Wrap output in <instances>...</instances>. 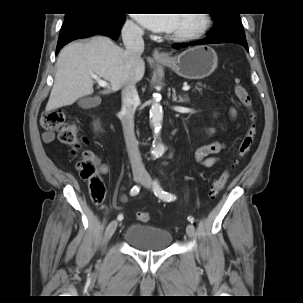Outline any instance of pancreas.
<instances>
[{
	"label": "pancreas",
	"instance_id": "1",
	"mask_svg": "<svg viewBox=\"0 0 303 303\" xmlns=\"http://www.w3.org/2000/svg\"><path fill=\"white\" fill-rule=\"evenodd\" d=\"M200 86H204V87H205V85L198 84V85L195 87V89L200 91V90H201Z\"/></svg>",
	"mask_w": 303,
	"mask_h": 303
}]
</instances>
